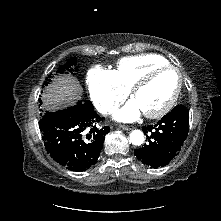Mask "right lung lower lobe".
Returning a JSON list of instances; mask_svg holds the SVG:
<instances>
[{
	"instance_id": "1",
	"label": "right lung lower lobe",
	"mask_w": 221,
	"mask_h": 221,
	"mask_svg": "<svg viewBox=\"0 0 221 221\" xmlns=\"http://www.w3.org/2000/svg\"><path fill=\"white\" fill-rule=\"evenodd\" d=\"M102 119L92 105L82 102L64 110L44 113L39 128L46 151L69 170L89 169L97 162L105 135L110 131L109 126H93Z\"/></svg>"
}]
</instances>
